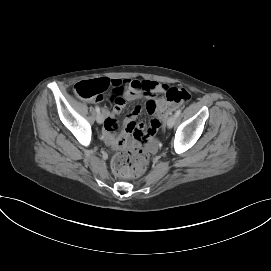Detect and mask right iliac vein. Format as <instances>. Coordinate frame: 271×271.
I'll return each instance as SVG.
<instances>
[{
    "label": "right iliac vein",
    "mask_w": 271,
    "mask_h": 271,
    "mask_svg": "<svg viewBox=\"0 0 271 271\" xmlns=\"http://www.w3.org/2000/svg\"><path fill=\"white\" fill-rule=\"evenodd\" d=\"M96 121L99 123V124H102L104 122V115L103 113H98L97 116H96Z\"/></svg>",
    "instance_id": "right-iliac-vein-1"
}]
</instances>
